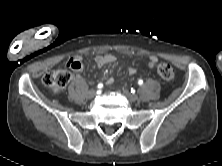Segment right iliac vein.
I'll return each instance as SVG.
<instances>
[{
    "label": "right iliac vein",
    "mask_w": 222,
    "mask_h": 166,
    "mask_svg": "<svg viewBox=\"0 0 222 166\" xmlns=\"http://www.w3.org/2000/svg\"><path fill=\"white\" fill-rule=\"evenodd\" d=\"M95 96H96V91L94 89H91L88 91V93H87L88 98L91 99V98H94Z\"/></svg>",
    "instance_id": "obj_1"
}]
</instances>
